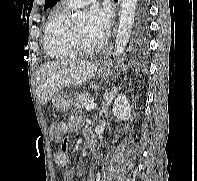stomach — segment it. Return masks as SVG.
<instances>
[{"label": "stomach", "mask_w": 197, "mask_h": 181, "mask_svg": "<svg viewBox=\"0 0 197 181\" xmlns=\"http://www.w3.org/2000/svg\"><path fill=\"white\" fill-rule=\"evenodd\" d=\"M97 76L106 78L111 75V70L106 66H100L97 69ZM73 102V94L63 89L58 90L53 96V105L60 111L66 112L70 110Z\"/></svg>", "instance_id": "0dacf381"}]
</instances>
